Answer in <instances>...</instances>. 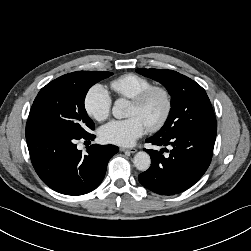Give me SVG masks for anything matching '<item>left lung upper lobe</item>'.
Segmentation results:
<instances>
[{
    "label": "left lung upper lobe",
    "mask_w": 251,
    "mask_h": 251,
    "mask_svg": "<svg viewBox=\"0 0 251 251\" xmlns=\"http://www.w3.org/2000/svg\"><path fill=\"white\" fill-rule=\"evenodd\" d=\"M136 72L160 82L171 95L169 116L155 137H167L183 130L217 128L210 100L195 81L167 69H136Z\"/></svg>",
    "instance_id": "1"
}]
</instances>
